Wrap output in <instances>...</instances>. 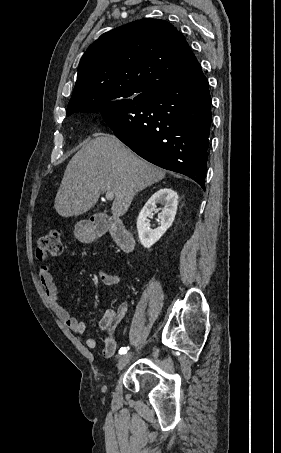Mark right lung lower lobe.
<instances>
[{
  "label": "right lung lower lobe",
  "instance_id": "1",
  "mask_svg": "<svg viewBox=\"0 0 281 453\" xmlns=\"http://www.w3.org/2000/svg\"><path fill=\"white\" fill-rule=\"evenodd\" d=\"M209 85L197 61L133 99L98 111L115 136L147 161L184 174L205 190L211 124Z\"/></svg>",
  "mask_w": 281,
  "mask_h": 453
}]
</instances>
